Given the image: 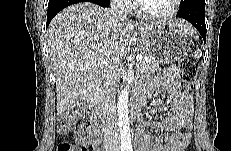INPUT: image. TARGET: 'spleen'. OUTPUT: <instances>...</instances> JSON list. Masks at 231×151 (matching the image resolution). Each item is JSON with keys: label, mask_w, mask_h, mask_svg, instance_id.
Returning a JSON list of instances; mask_svg holds the SVG:
<instances>
[{"label": "spleen", "mask_w": 231, "mask_h": 151, "mask_svg": "<svg viewBox=\"0 0 231 151\" xmlns=\"http://www.w3.org/2000/svg\"><path fill=\"white\" fill-rule=\"evenodd\" d=\"M194 54H195V57L196 58H200L201 56H202V52H201V50H196L195 52H194Z\"/></svg>", "instance_id": "3e777b00"}]
</instances>
